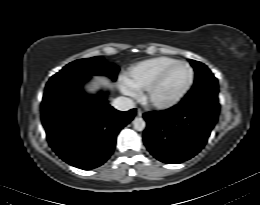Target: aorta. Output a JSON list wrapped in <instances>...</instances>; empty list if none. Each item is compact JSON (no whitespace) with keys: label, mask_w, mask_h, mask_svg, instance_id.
Here are the masks:
<instances>
[{"label":"aorta","mask_w":260,"mask_h":205,"mask_svg":"<svg viewBox=\"0 0 260 205\" xmlns=\"http://www.w3.org/2000/svg\"><path fill=\"white\" fill-rule=\"evenodd\" d=\"M133 126H134V129L137 130V131H143L146 127V123L144 121L143 118H140V117H136L134 120H133Z\"/></svg>","instance_id":"aorta-1"}]
</instances>
